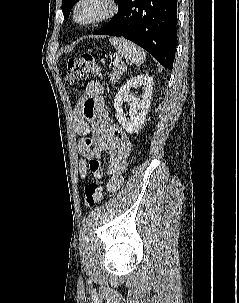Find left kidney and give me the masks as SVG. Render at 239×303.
<instances>
[{"instance_id": "obj_1", "label": "left kidney", "mask_w": 239, "mask_h": 303, "mask_svg": "<svg viewBox=\"0 0 239 303\" xmlns=\"http://www.w3.org/2000/svg\"><path fill=\"white\" fill-rule=\"evenodd\" d=\"M144 86L142 99H137L129 94L132 87ZM153 78L149 75H139L128 80L118 91L114 99V108L119 124L130 134L136 133L143 126L149 109L152 96ZM127 102L130 105L129 118L123 111L122 105Z\"/></svg>"}]
</instances>
